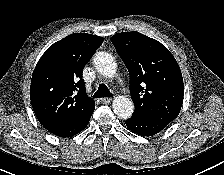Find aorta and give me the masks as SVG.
I'll list each match as a JSON object with an SVG mask.
<instances>
[{
    "label": "aorta",
    "mask_w": 224,
    "mask_h": 175,
    "mask_svg": "<svg viewBox=\"0 0 224 175\" xmlns=\"http://www.w3.org/2000/svg\"><path fill=\"white\" fill-rule=\"evenodd\" d=\"M96 69L105 77H113L117 70L115 58L107 52H99L94 57ZM114 113L122 118L128 119L134 112V104L125 96H117L112 103Z\"/></svg>",
    "instance_id": "762f6f07"
}]
</instances>
